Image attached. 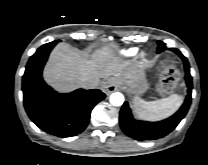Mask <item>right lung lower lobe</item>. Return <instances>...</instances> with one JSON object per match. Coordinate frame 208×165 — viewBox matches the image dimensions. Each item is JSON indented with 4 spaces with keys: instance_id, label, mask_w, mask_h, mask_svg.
<instances>
[{
    "instance_id": "right-lung-lower-lobe-1",
    "label": "right lung lower lobe",
    "mask_w": 208,
    "mask_h": 165,
    "mask_svg": "<svg viewBox=\"0 0 208 165\" xmlns=\"http://www.w3.org/2000/svg\"><path fill=\"white\" fill-rule=\"evenodd\" d=\"M55 45L30 57L22 79L23 102L28 116L40 129L55 136L70 137L87 127L91 110L105 94L98 89L59 94L49 87L42 78V70Z\"/></svg>"
}]
</instances>
